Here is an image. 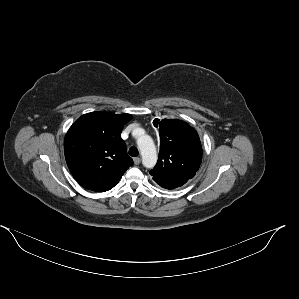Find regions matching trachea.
<instances>
[{"instance_id":"3493384b","label":"trachea","mask_w":299,"mask_h":299,"mask_svg":"<svg viewBox=\"0 0 299 299\" xmlns=\"http://www.w3.org/2000/svg\"><path fill=\"white\" fill-rule=\"evenodd\" d=\"M139 152H138V149L136 147H131L129 149V155L132 156V157H136L138 156Z\"/></svg>"}]
</instances>
